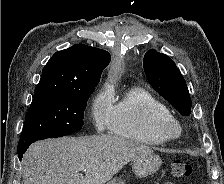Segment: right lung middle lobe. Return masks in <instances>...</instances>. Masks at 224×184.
<instances>
[{
    "instance_id": "right-lung-middle-lobe-1",
    "label": "right lung middle lobe",
    "mask_w": 224,
    "mask_h": 184,
    "mask_svg": "<svg viewBox=\"0 0 224 184\" xmlns=\"http://www.w3.org/2000/svg\"><path fill=\"white\" fill-rule=\"evenodd\" d=\"M93 90L34 92L18 146L79 131Z\"/></svg>"
}]
</instances>
